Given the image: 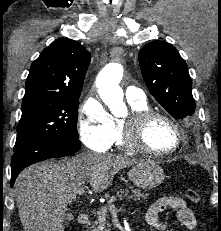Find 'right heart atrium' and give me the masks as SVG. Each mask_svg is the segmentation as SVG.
Here are the masks:
<instances>
[{
    "instance_id": "1",
    "label": "right heart atrium",
    "mask_w": 221,
    "mask_h": 231,
    "mask_svg": "<svg viewBox=\"0 0 221 231\" xmlns=\"http://www.w3.org/2000/svg\"><path fill=\"white\" fill-rule=\"evenodd\" d=\"M78 128L82 143L91 150L105 151L114 142L115 120L93 96H88L80 107Z\"/></svg>"
}]
</instances>
